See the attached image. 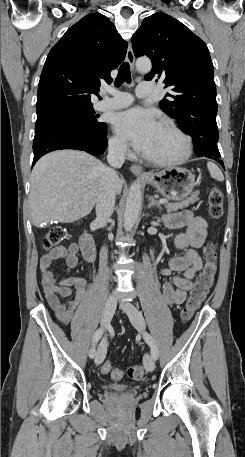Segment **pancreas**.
<instances>
[{"label":"pancreas","mask_w":245,"mask_h":457,"mask_svg":"<svg viewBox=\"0 0 245 457\" xmlns=\"http://www.w3.org/2000/svg\"><path fill=\"white\" fill-rule=\"evenodd\" d=\"M198 194L199 190H195V192H192L191 196L186 198V200H181V202H161V204H165L168 212H171V210H178V208H185L188 204H193V202L199 200Z\"/></svg>","instance_id":"pancreas-1"}]
</instances>
